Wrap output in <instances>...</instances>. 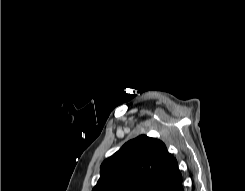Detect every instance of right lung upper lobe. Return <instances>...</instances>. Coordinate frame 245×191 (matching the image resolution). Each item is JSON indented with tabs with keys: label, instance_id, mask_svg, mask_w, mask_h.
Returning <instances> with one entry per match:
<instances>
[{
	"label": "right lung upper lobe",
	"instance_id": "right-lung-upper-lobe-1",
	"mask_svg": "<svg viewBox=\"0 0 245 191\" xmlns=\"http://www.w3.org/2000/svg\"><path fill=\"white\" fill-rule=\"evenodd\" d=\"M92 191H172L182 182L177 160L165 144L145 135L106 159Z\"/></svg>",
	"mask_w": 245,
	"mask_h": 191
}]
</instances>
